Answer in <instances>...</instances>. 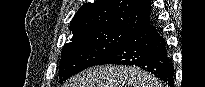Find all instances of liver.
Returning <instances> with one entry per match:
<instances>
[{
    "mask_svg": "<svg viewBox=\"0 0 205 87\" xmlns=\"http://www.w3.org/2000/svg\"><path fill=\"white\" fill-rule=\"evenodd\" d=\"M64 87H163L153 75L131 66H94L73 76Z\"/></svg>",
    "mask_w": 205,
    "mask_h": 87,
    "instance_id": "liver-1",
    "label": "liver"
}]
</instances>
